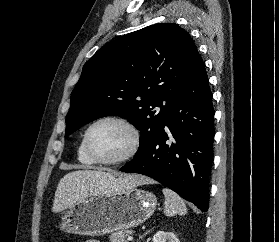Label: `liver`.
I'll return each mask as SVG.
<instances>
[{
  "mask_svg": "<svg viewBox=\"0 0 279 242\" xmlns=\"http://www.w3.org/2000/svg\"><path fill=\"white\" fill-rule=\"evenodd\" d=\"M152 183L147 177L119 176L95 170H77L60 179L53 201V212H61L82 198L100 193Z\"/></svg>",
  "mask_w": 279,
  "mask_h": 242,
  "instance_id": "obj_1",
  "label": "liver"
}]
</instances>
